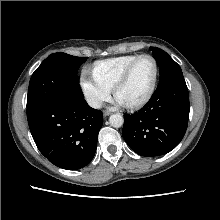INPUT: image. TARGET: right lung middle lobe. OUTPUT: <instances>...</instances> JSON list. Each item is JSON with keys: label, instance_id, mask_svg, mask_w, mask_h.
<instances>
[{"label": "right lung middle lobe", "instance_id": "1", "mask_svg": "<svg viewBox=\"0 0 220 220\" xmlns=\"http://www.w3.org/2000/svg\"><path fill=\"white\" fill-rule=\"evenodd\" d=\"M87 58L62 52L49 55L31 76L27 108L47 101L70 103L83 100L77 72Z\"/></svg>", "mask_w": 220, "mask_h": 220}]
</instances>
